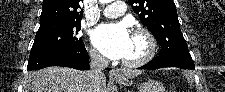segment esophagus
I'll use <instances>...</instances> for the list:
<instances>
[{
  "mask_svg": "<svg viewBox=\"0 0 225 92\" xmlns=\"http://www.w3.org/2000/svg\"><path fill=\"white\" fill-rule=\"evenodd\" d=\"M111 74H112V75H120L119 71L116 70V69H112V70H111Z\"/></svg>",
  "mask_w": 225,
  "mask_h": 92,
  "instance_id": "obj_1",
  "label": "esophagus"
}]
</instances>
